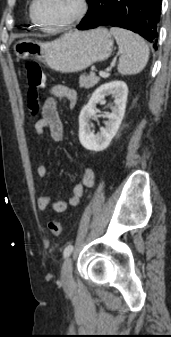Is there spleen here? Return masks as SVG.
I'll return each instance as SVG.
<instances>
[{"instance_id": "3e777b00", "label": "spleen", "mask_w": 171, "mask_h": 337, "mask_svg": "<svg viewBox=\"0 0 171 337\" xmlns=\"http://www.w3.org/2000/svg\"><path fill=\"white\" fill-rule=\"evenodd\" d=\"M110 33L115 37L118 46L123 50L118 64L122 75L140 73L149 59V47L139 35L118 27H112Z\"/></svg>"}]
</instances>
